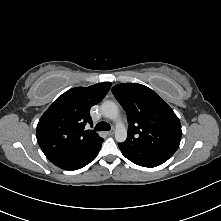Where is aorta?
<instances>
[{"label":"aorta","mask_w":221,"mask_h":221,"mask_svg":"<svg viewBox=\"0 0 221 221\" xmlns=\"http://www.w3.org/2000/svg\"><path fill=\"white\" fill-rule=\"evenodd\" d=\"M101 111L106 118L116 121L115 139L117 142H124L127 139V129L119 120L118 106L112 101H105L101 105Z\"/></svg>","instance_id":"762f6f07"}]
</instances>
